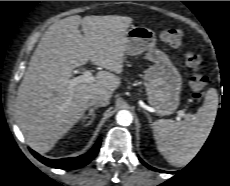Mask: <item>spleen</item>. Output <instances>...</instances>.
Instances as JSON below:
<instances>
[{
    "instance_id": "3e777b00",
    "label": "spleen",
    "mask_w": 230,
    "mask_h": 186,
    "mask_svg": "<svg viewBox=\"0 0 230 186\" xmlns=\"http://www.w3.org/2000/svg\"><path fill=\"white\" fill-rule=\"evenodd\" d=\"M217 109L218 93L210 88L194 118L182 122L160 119L153 123L157 148L171 165L186 166L197 155L212 130Z\"/></svg>"
}]
</instances>
